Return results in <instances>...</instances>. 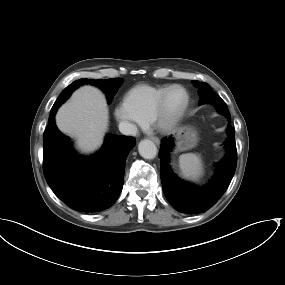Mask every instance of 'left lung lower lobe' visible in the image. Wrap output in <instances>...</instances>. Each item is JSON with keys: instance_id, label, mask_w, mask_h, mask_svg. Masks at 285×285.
I'll use <instances>...</instances> for the list:
<instances>
[{"instance_id": "1", "label": "left lung lower lobe", "mask_w": 285, "mask_h": 285, "mask_svg": "<svg viewBox=\"0 0 285 285\" xmlns=\"http://www.w3.org/2000/svg\"><path fill=\"white\" fill-rule=\"evenodd\" d=\"M221 101V99L213 100L211 104L218 109L221 106ZM227 118L230 120V116ZM227 132L228 139L225 143L227 154L218 163L216 174L212 181L204 187H197L185 182L173 173L169 165V154L174 146V138L162 139L159 152L162 188L167 200L177 211L186 214L205 212L226 191L233 178L237 164L235 129L230 123L228 124Z\"/></svg>"}]
</instances>
